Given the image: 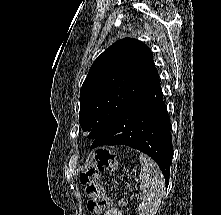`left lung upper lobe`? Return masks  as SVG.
Instances as JSON below:
<instances>
[{
	"label": "left lung upper lobe",
	"instance_id": "obj_1",
	"mask_svg": "<svg viewBox=\"0 0 221 215\" xmlns=\"http://www.w3.org/2000/svg\"><path fill=\"white\" fill-rule=\"evenodd\" d=\"M158 81L152 52L143 42L132 38L115 42L94 61L81 87L82 130L96 139Z\"/></svg>",
	"mask_w": 221,
	"mask_h": 215
}]
</instances>
